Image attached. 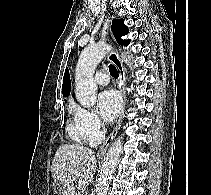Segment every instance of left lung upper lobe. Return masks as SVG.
Listing matches in <instances>:
<instances>
[{"mask_svg": "<svg viewBox=\"0 0 211 195\" xmlns=\"http://www.w3.org/2000/svg\"><path fill=\"white\" fill-rule=\"evenodd\" d=\"M112 31L114 34V37L116 41L120 45H125L127 46L129 43V40H122L121 36L126 35L128 33V27L124 25L123 19H114L112 22Z\"/></svg>", "mask_w": 211, "mask_h": 195, "instance_id": "1", "label": "left lung upper lobe"}]
</instances>
